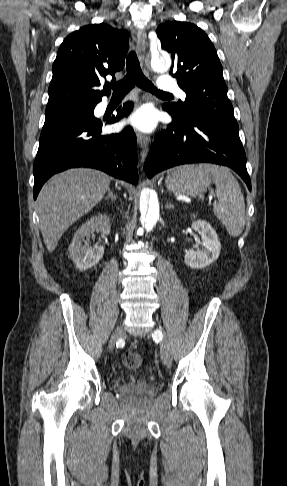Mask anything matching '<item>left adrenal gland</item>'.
<instances>
[{
    "mask_svg": "<svg viewBox=\"0 0 287 486\" xmlns=\"http://www.w3.org/2000/svg\"><path fill=\"white\" fill-rule=\"evenodd\" d=\"M165 208H166V209H174V205H173V204H171V203H168V202H167V203L165 204Z\"/></svg>",
    "mask_w": 287,
    "mask_h": 486,
    "instance_id": "a2214340",
    "label": "left adrenal gland"
}]
</instances>
